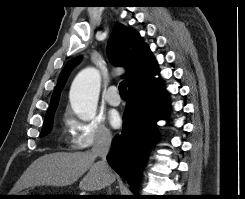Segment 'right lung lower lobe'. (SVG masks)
I'll return each mask as SVG.
<instances>
[{"label": "right lung lower lobe", "instance_id": "98d812e1", "mask_svg": "<svg viewBox=\"0 0 245 199\" xmlns=\"http://www.w3.org/2000/svg\"><path fill=\"white\" fill-rule=\"evenodd\" d=\"M167 109L161 81L145 90L128 91L123 130L116 135L107 155L109 165L137 192L144 158L155 139L156 122Z\"/></svg>", "mask_w": 245, "mask_h": 199}]
</instances>
